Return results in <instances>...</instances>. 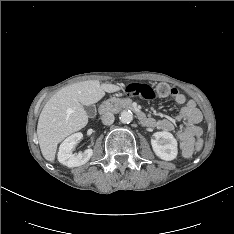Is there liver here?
<instances>
[{
  "label": "liver",
  "instance_id": "1",
  "mask_svg": "<svg viewBox=\"0 0 234 234\" xmlns=\"http://www.w3.org/2000/svg\"><path fill=\"white\" fill-rule=\"evenodd\" d=\"M120 89V85L88 80L69 85L53 95L42 109L37 125V136L44 158L53 162L57 145L87 125L88 115L84 106L97 103L105 92L113 93Z\"/></svg>",
  "mask_w": 234,
  "mask_h": 234
}]
</instances>
